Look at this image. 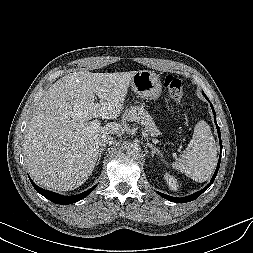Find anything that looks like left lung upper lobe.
<instances>
[{"mask_svg": "<svg viewBox=\"0 0 253 253\" xmlns=\"http://www.w3.org/2000/svg\"><path fill=\"white\" fill-rule=\"evenodd\" d=\"M203 95H204L205 97H207V96L204 94V92H203Z\"/></svg>", "mask_w": 253, "mask_h": 253, "instance_id": "left-lung-upper-lobe-1", "label": "left lung upper lobe"}]
</instances>
